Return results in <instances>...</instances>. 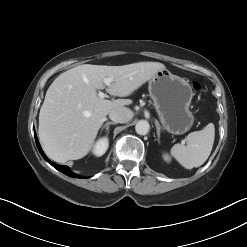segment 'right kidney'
Returning <instances> with one entry per match:
<instances>
[{"instance_id": "1", "label": "right kidney", "mask_w": 247, "mask_h": 247, "mask_svg": "<svg viewBox=\"0 0 247 247\" xmlns=\"http://www.w3.org/2000/svg\"><path fill=\"white\" fill-rule=\"evenodd\" d=\"M109 146V140L107 137L99 139L94 145L92 152L95 156L100 157L107 151Z\"/></svg>"}]
</instances>
